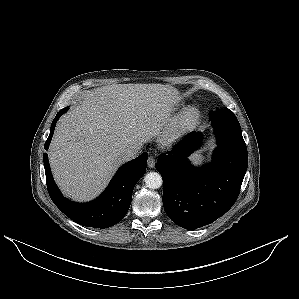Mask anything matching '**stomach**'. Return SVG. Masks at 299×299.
I'll return each instance as SVG.
<instances>
[{"mask_svg": "<svg viewBox=\"0 0 299 299\" xmlns=\"http://www.w3.org/2000/svg\"><path fill=\"white\" fill-rule=\"evenodd\" d=\"M193 158L195 159L196 162H200L202 160V155L201 154H195L193 156Z\"/></svg>", "mask_w": 299, "mask_h": 299, "instance_id": "1", "label": "stomach"}]
</instances>
